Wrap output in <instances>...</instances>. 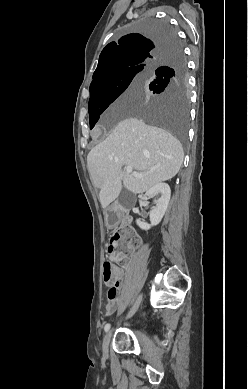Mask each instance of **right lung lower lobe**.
Segmentation results:
<instances>
[{
    "instance_id": "obj_1",
    "label": "right lung lower lobe",
    "mask_w": 248,
    "mask_h": 389,
    "mask_svg": "<svg viewBox=\"0 0 248 389\" xmlns=\"http://www.w3.org/2000/svg\"><path fill=\"white\" fill-rule=\"evenodd\" d=\"M161 39H164V38H159V39H154V40H161ZM169 39H173V40L176 41V42L173 44L174 47L172 48V50H179V49H181V51H182V48H181V46H180V44H179V42H178V40H177L176 37H174V38H169ZM164 72H167V70H163V69H160V68H157V69L155 70V74H158V73L163 74Z\"/></svg>"
}]
</instances>
